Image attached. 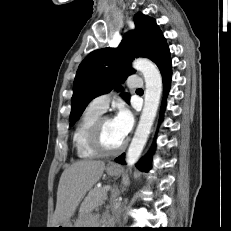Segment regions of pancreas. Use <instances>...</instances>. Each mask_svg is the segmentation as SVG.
I'll return each mask as SVG.
<instances>
[{"label":"pancreas","mask_w":231,"mask_h":231,"mask_svg":"<svg viewBox=\"0 0 231 231\" xmlns=\"http://www.w3.org/2000/svg\"><path fill=\"white\" fill-rule=\"evenodd\" d=\"M107 199V191L105 187L95 188L92 190L86 198V203L89 207H97L101 205ZM84 224L89 222L90 218H82Z\"/></svg>","instance_id":"pancreas-1"}]
</instances>
